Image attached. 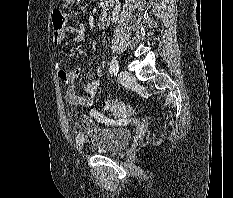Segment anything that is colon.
Returning <instances> with one entry per match:
<instances>
[{"instance_id": "colon-1", "label": "colon", "mask_w": 233, "mask_h": 198, "mask_svg": "<svg viewBox=\"0 0 233 198\" xmlns=\"http://www.w3.org/2000/svg\"><path fill=\"white\" fill-rule=\"evenodd\" d=\"M53 32H59L66 26V19L63 12L59 9H55L51 15ZM102 108L109 115L126 118L130 115L136 113L137 108L127 103L114 101V100H104L102 101Z\"/></svg>"}]
</instances>
